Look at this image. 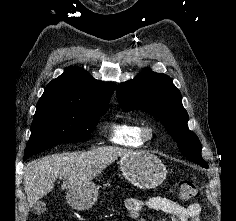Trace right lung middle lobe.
I'll list each match as a JSON object with an SVG mask.
<instances>
[{"mask_svg": "<svg viewBox=\"0 0 236 221\" xmlns=\"http://www.w3.org/2000/svg\"><path fill=\"white\" fill-rule=\"evenodd\" d=\"M108 104H37L24 159L65 142L88 141Z\"/></svg>", "mask_w": 236, "mask_h": 221, "instance_id": "right-lung-middle-lobe-1", "label": "right lung middle lobe"}]
</instances>
